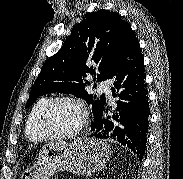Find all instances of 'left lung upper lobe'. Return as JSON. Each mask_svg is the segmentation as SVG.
I'll return each instance as SVG.
<instances>
[{"label": "left lung upper lobe", "instance_id": "5c2ea615", "mask_svg": "<svg viewBox=\"0 0 183 179\" xmlns=\"http://www.w3.org/2000/svg\"><path fill=\"white\" fill-rule=\"evenodd\" d=\"M129 30V24L116 12L102 9L87 13L62 48L44 63L25 107L41 95L61 92L84 99L92 105L94 118L97 117L106 100L104 95L96 99V95L88 94L85 86L90 83L85 77L88 73L95 76L93 67L97 66L98 82L110 78Z\"/></svg>", "mask_w": 183, "mask_h": 179}]
</instances>
